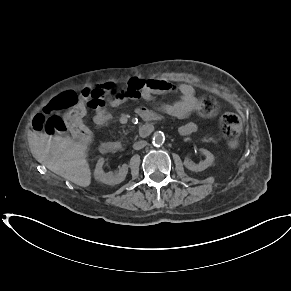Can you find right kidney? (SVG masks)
<instances>
[{"mask_svg":"<svg viewBox=\"0 0 291 291\" xmlns=\"http://www.w3.org/2000/svg\"><path fill=\"white\" fill-rule=\"evenodd\" d=\"M105 160L104 158H100L96 164V168L94 171V177L97 181L102 182L107 185H116L123 182L128 173L127 164H123L122 167L119 168L118 173L113 174L112 172L105 173L103 170V164Z\"/></svg>","mask_w":291,"mask_h":291,"instance_id":"1","label":"right kidney"}]
</instances>
